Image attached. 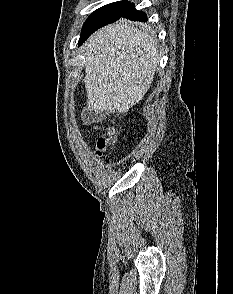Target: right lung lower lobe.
Segmentation results:
<instances>
[{"instance_id": "right-lung-lower-lobe-1", "label": "right lung lower lobe", "mask_w": 233, "mask_h": 294, "mask_svg": "<svg viewBox=\"0 0 233 294\" xmlns=\"http://www.w3.org/2000/svg\"><path fill=\"white\" fill-rule=\"evenodd\" d=\"M123 18H127L133 21H140V22H146L147 21V16L144 12L138 11L134 8V4L131 3L129 4L128 8L125 10V12L122 14ZM112 23V22H109ZM109 23H104L99 26H96L95 28H92L91 30L81 34L80 39H79V45L82 44L94 31L98 30L100 27L109 24Z\"/></svg>"}]
</instances>
